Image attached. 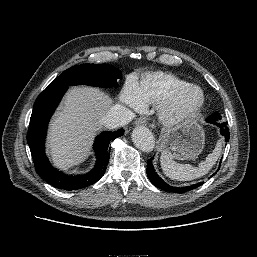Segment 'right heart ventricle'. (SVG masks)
Returning <instances> with one entry per match:
<instances>
[{
    "mask_svg": "<svg viewBox=\"0 0 257 257\" xmlns=\"http://www.w3.org/2000/svg\"><path fill=\"white\" fill-rule=\"evenodd\" d=\"M188 84L172 73L155 71L143 74L135 86L137 96L145 106L162 102L171 92Z\"/></svg>",
    "mask_w": 257,
    "mask_h": 257,
    "instance_id": "obj_1",
    "label": "right heart ventricle"
}]
</instances>
